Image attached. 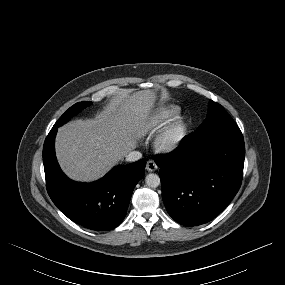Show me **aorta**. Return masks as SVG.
<instances>
[{
    "instance_id": "aorta-1",
    "label": "aorta",
    "mask_w": 285,
    "mask_h": 285,
    "mask_svg": "<svg viewBox=\"0 0 285 285\" xmlns=\"http://www.w3.org/2000/svg\"><path fill=\"white\" fill-rule=\"evenodd\" d=\"M146 185L151 188H156L160 185V177L157 174H148L145 178Z\"/></svg>"
}]
</instances>
